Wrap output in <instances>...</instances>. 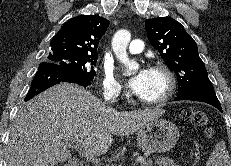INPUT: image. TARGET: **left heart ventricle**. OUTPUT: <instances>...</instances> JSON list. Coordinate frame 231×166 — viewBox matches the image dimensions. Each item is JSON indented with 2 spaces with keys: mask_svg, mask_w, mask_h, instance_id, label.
<instances>
[{
  "mask_svg": "<svg viewBox=\"0 0 231 166\" xmlns=\"http://www.w3.org/2000/svg\"><path fill=\"white\" fill-rule=\"evenodd\" d=\"M166 82L162 74L151 71L149 72V79L144 92L140 95L143 99H154L160 96L165 90Z\"/></svg>",
  "mask_w": 231,
  "mask_h": 166,
  "instance_id": "1",
  "label": "left heart ventricle"
}]
</instances>
